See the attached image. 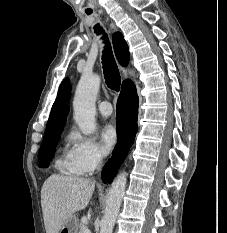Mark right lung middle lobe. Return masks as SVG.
<instances>
[{"label": "right lung middle lobe", "instance_id": "right-lung-middle-lobe-1", "mask_svg": "<svg viewBox=\"0 0 227 233\" xmlns=\"http://www.w3.org/2000/svg\"><path fill=\"white\" fill-rule=\"evenodd\" d=\"M61 133H58L49 138H44L39 154V167H48L49 162L54 156L55 147L60 139Z\"/></svg>", "mask_w": 227, "mask_h": 233}]
</instances>
